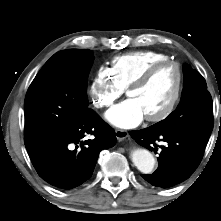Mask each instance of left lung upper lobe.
Here are the masks:
<instances>
[{
  "instance_id": "obj_1",
  "label": "left lung upper lobe",
  "mask_w": 221,
  "mask_h": 221,
  "mask_svg": "<svg viewBox=\"0 0 221 221\" xmlns=\"http://www.w3.org/2000/svg\"><path fill=\"white\" fill-rule=\"evenodd\" d=\"M165 133L193 132L210 136L213 129L212 97L202 75L184 65V87L176 110L154 125Z\"/></svg>"
}]
</instances>
